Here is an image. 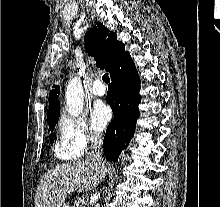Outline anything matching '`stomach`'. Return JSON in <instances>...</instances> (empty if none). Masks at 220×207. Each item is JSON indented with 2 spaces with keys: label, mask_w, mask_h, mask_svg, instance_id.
I'll list each match as a JSON object with an SVG mask.
<instances>
[{
  "label": "stomach",
  "mask_w": 220,
  "mask_h": 207,
  "mask_svg": "<svg viewBox=\"0 0 220 207\" xmlns=\"http://www.w3.org/2000/svg\"><path fill=\"white\" fill-rule=\"evenodd\" d=\"M61 207H68L67 205H62Z\"/></svg>",
  "instance_id": "stomach-1"
}]
</instances>
